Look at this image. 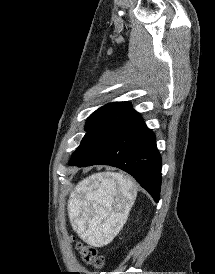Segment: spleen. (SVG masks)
I'll list each match as a JSON object with an SVG mask.
<instances>
[{
    "instance_id": "3e777b00",
    "label": "spleen",
    "mask_w": 215,
    "mask_h": 274,
    "mask_svg": "<svg viewBox=\"0 0 215 274\" xmlns=\"http://www.w3.org/2000/svg\"><path fill=\"white\" fill-rule=\"evenodd\" d=\"M136 195L134 183L127 176L92 175L81 181L71 194L69 214L84 240L104 244L112 239L111 225L126 217Z\"/></svg>"
}]
</instances>
